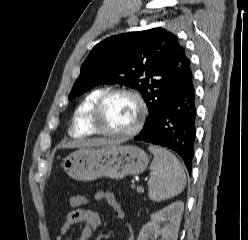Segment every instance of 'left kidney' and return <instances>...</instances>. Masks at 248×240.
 <instances>
[{"instance_id": "left-kidney-1", "label": "left kidney", "mask_w": 248, "mask_h": 240, "mask_svg": "<svg viewBox=\"0 0 248 240\" xmlns=\"http://www.w3.org/2000/svg\"><path fill=\"white\" fill-rule=\"evenodd\" d=\"M183 210L184 203L176 201L153 213L151 221L142 227L137 240H154L157 236H161V240H177Z\"/></svg>"}]
</instances>
